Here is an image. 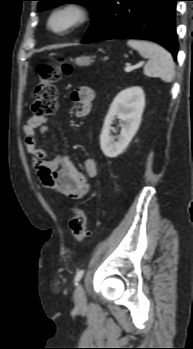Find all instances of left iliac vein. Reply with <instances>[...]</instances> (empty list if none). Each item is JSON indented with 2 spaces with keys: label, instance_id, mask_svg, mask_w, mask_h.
Wrapping results in <instances>:
<instances>
[{
  "label": "left iliac vein",
  "instance_id": "1",
  "mask_svg": "<svg viewBox=\"0 0 193 349\" xmlns=\"http://www.w3.org/2000/svg\"><path fill=\"white\" fill-rule=\"evenodd\" d=\"M74 300L78 308H83L86 306V295L84 288L81 284H78L74 291Z\"/></svg>",
  "mask_w": 193,
  "mask_h": 349
}]
</instances>
